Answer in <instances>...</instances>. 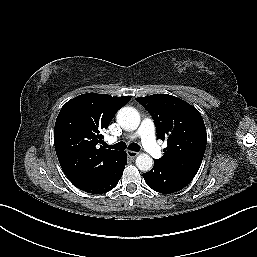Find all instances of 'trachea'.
<instances>
[{"label": "trachea", "instance_id": "trachea-1", "mask_svg": "<svg viewBox=\"0 0 257 257\" xmlns=\"http://www.w3.org/2000/svg\"><path fill=\"white\" fill-rule=\"evenodd\" d=\"M104 146L106 148H111V149H115V150H124V149L127 148V145L124 142H118V143H116L114 145L104 144ZM128 149L132 150V151L138 152L140 150V146L138 144H136V143H131L128 146Z\"/></svg>", "mask_w": 257, "mask_h": 257}]
</instances>
